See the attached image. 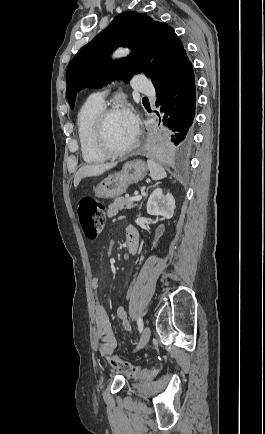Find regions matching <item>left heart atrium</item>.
Instances as JSON below:
<instances>
[{
  "label": "left heart atrium",
  "instance_id": "39dd6f15",
  "mask_svg": "<svg viewBox=\"0 0 265 434\" xmlns=\"http://www.w3.org/2000/svg\"><path fill=\"white\" fill-rule=\"evenodd\" d=\"M120 115L125 123V125L128 127V129L132 132L134 136L137 137L138 134V123L136 120V116L134 113V110L130 106H125L121 112Z\"/></svg>",
  "mask_w": 265,
  "mask_h": 434
}]
</instances>
